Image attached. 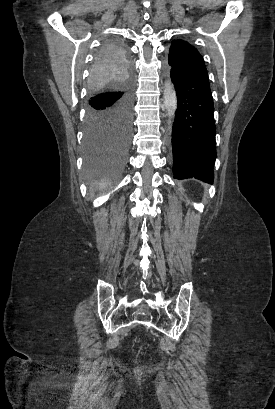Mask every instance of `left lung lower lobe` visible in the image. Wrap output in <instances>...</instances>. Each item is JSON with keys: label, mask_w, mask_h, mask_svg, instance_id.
I'll list each match as a JSON object with an SVG mask.
<instances>
[{"label": "left lung lower lobe", "mask_w": 275, "mask_h": 409, "mask_svg": "<svg viewBox=\"0 0 275 409\" xmlns=\"http://www.w3.org/2000/svg\"><path fill=\"white\" fill-rule=\"evenodd\" d=\"M178 108L172 127L174 179L213 183L216 126L209 82L171 69Z\"/></svg>", "instance_id": "1"}]
</instances>
